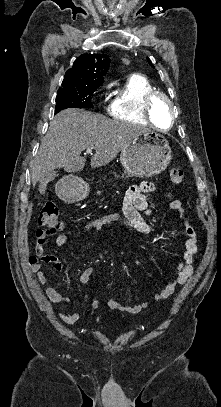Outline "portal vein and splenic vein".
<instances>
[{
    "label": "portal vein and splenic vein",
    "instance_id": "18ae733b",
    "mask_svg": "<svg viewBox=\"0 0 221 407\" xmlns=\"http://www.w3.org/2000/svg\"><path fill=\"white\" fill-rule=\"evenodd\" d=\"M86 154H92V149H87Z\"/></svg>",
    "mask_w": 221,
    "mask_h": 407
}]
</instances>
